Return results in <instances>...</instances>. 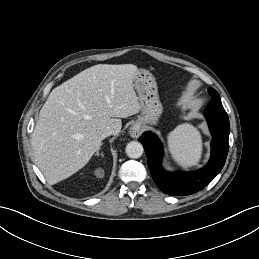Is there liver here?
<instances>
[{"mask_svg":"<svg viewBox=\"0 0 259 259\" xmlns=\"http://www.w3.org/2000/svg\"><path fill=\"white\" fill-rule=\"evenodd\" d=\"M133 64L92 66L54 88L32 134L35 163L49 184L83 168L100 148L107 128L140 111Z\"/></svg>","mask_w":259,"mask_h":259,"instance_id":"1","label":"liver"}]
</instances>
